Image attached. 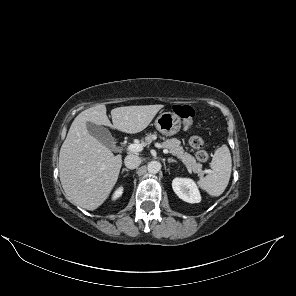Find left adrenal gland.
Segmentation results:
<instances>
[{"label":"left adrenal gland","mask_w":296,"mask_h":296,"mask_svg":"<svg viewBox=\"0 0 296 296\" xmlns=\"http://www.w3.org/2000/svg\"><path fill=\"white\" fill-rule=\"evenodd\" d=\"M167 161H168V163H177V161L172 158L168 159Z\"/></svg>","instance_id":"left-adrenal-gland-1"}]
</instances>
